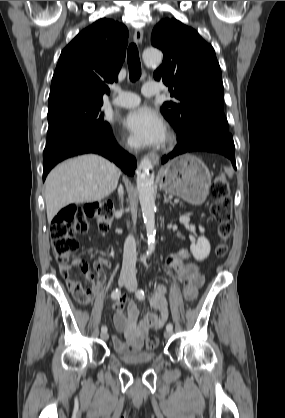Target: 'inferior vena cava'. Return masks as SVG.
Here are the masks:
<instances>
[{"label":"inferior vena cava","instance_id":"inferior-vena-cava-1","mask_svg":"<svg viewBox=\"0 0 285 418\" xmlns=\"http://www.w3.org/2000/svg\"><path fill=\"white\" fill-rule=\"evenodd\" d=\"M123 193L122 186L119 187V194ZM136 243L132 235H129L124 243L122 275L135 276L136 274Z\"/></svg>","mask_w":285,"mask_h":418}]
</instances>
